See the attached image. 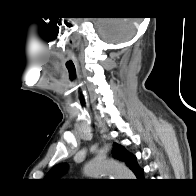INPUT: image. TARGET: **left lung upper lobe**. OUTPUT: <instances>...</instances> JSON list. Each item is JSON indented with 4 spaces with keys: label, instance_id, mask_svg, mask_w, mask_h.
<instances>
[{
    "label": "left lung upper lobe",
    "instance_id": "left-lung-upper-lobe-1",
    "mask_svg": "<svg viewBox=\"0 0 196 196\" xmlns=\"http://www.w3.org/2000/svg\"><path fill=\"white\" fill-rule=\"evenodd\" d=\"M112 154L114 158L123 161L130 169L132 168L135 156L127 152L123 146L114 143ZM67 167L66 164H59L53 167L44 179L48 181L56 180L59 175L67 170Z\"/></svg>",
    "mask_w": 196,
    "mask_h": 196
}]
</instances>
